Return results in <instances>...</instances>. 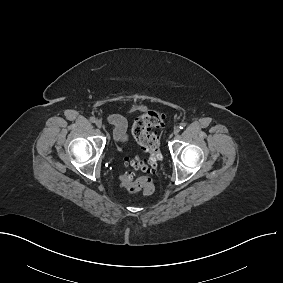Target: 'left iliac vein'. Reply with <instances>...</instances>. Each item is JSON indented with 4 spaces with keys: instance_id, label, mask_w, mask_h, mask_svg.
<instances>
[{
    "instance_id": "left-iliac-vein-1",
    "label": "left iliac vein",
    "mask_w": 283,
    "mask_h": 283,
    "mask_svg": "<svg viewBox=\"0 0 283 283\" xmlns=\"http://www.w3.org/2000/svg\"><path fill=\"white\" fill-rule=\"evenodd\" d=\"M179 131H180V129L178 127H176L173 132H174L175 135H177L179 133Z\"/></svg>"
}]
</instances>
